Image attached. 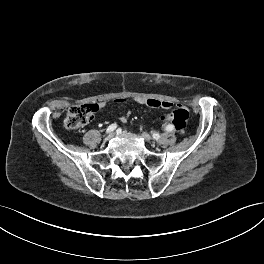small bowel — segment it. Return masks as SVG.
<instances>
[{
    "label": "small bowel",
    "instance_id": "c3829d8e",
    "mask_svg": "<svg viewBox=\"0 0 264 264\" xmlns=\"http://www.w3.org/2000/svg\"><path fill=\"white\" fill-rule=\"evenodd\" d=\"M119 102H122L123 100H117ZM136 101L139 104L152 107V108H161V109H169L173 106L171 102L168 101H160L157 99H150V98H137ZM99 107H103L104 103L97 104ZM120 121L122 123H125L127 121V116H121Z\"/></svg>",
    "mask_w": 264,
    "mask_h": 264
}]
</instances>
